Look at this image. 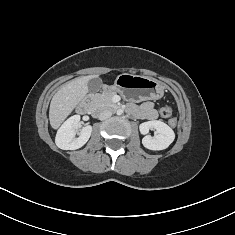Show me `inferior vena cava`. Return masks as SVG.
Returning a JSON list of instances; mask_svg holds the SVG:
<instances>
[{"mask_svg": "<svg viewBox=\"0 0 235 235\" xmlns=\"http://www.w3.org/2000/svg\"><path fill=\"white\" fill-rule=\"evenodd\" d=\"M111 116H112V111L106 109V110H103V111L99 114V119H100V120H105V119H107V118H109V117H111Z\"/></svg>", "mask_w": 235, "mask_h": 235, "instance_id": "obj_1", "label": "inferior vena cava"}]
</instances>
